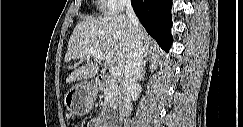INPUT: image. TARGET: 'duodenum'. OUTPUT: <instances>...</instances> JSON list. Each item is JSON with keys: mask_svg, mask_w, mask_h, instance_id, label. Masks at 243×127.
<instances>
[{"mask_svg": "<svg viewBox=\"0 0 243 127\" xmlns=\"http://www.w3.org/2000/svg\"><path fill=\"white\" fill-rule=\"evenodd\" d=\"M111 84H112V79L110 77H108L107 75L101 74V75H98L97 78H96V85L98 87H104V86H108V85H111ZM100 122H101V126H104L102 124L101 120H100Z\"/></svg>", "mask_w": 243, "mask_h": 127, "instance_id": "duodenum-1", "label": "duodenum"}]
</instances>
